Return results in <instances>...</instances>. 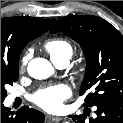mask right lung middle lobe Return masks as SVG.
<instances>
[{
  "label": "right lung middle lobe",
  "mask_w": 123,
  "mask_h": 123,
  "mask_svg": "<svg viewBox=\"0 0 123 123\" xmlns=\"http://www.w3.org/2000/svg\"><path fill=\"white\" fill-rule=\"evenodd\" d=\"M19 63L15 61L8 65H1V101L7 96L6 85H13L18 79Z\"/></svg>",
  "instance_id": "obj_1"
}]
</instances>
